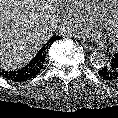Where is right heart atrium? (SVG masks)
Here are the masks:
<instances>
[{"instance_id":"obj_1","label":"right heart atrium","mask_w":118,"mask_h":118,"mask_svg":"<svg viewBox=\"0 0 118 118\" xmlns=\"http://www.w3.org/2000/svg\"><path fill=\"white\" fill-rule=\"evenodd\" d=\"M94 17L88 12L82 0H69L63 13V20L67 27L73 31L94 23Z\"/></svg>"}]
</instances>
